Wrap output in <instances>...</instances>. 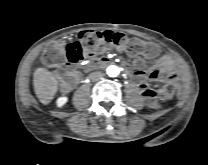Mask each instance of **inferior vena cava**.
<instances>
[{"label": "inferior vena cava", "mask_w": 208, "mask_h": 165, "mask_svg": "<svg viewBox=\"0 0 208 165\" xmlns=\"http://www.w3.org/2000/svg\"><path fill=\"white\" fill-rule=\"evenodd\" d=\"M103 74L101 72H93L90 74V79L93 81H97L103 78Z\"/></svg>", "instance_id": "obj_1"}]
</instances>
